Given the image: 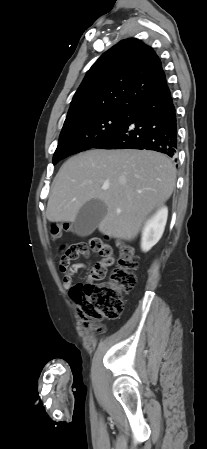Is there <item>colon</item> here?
<instances>
[{
	"label": "colon",
	"mask_w": 207,
	"mask_h": 449,
	"mask_svg": "<svg viewBox=\"0 0 207 449\" xmlns=\"http://www.w3.org/2000/svg\"><path fill=\"white\" fill-rule=\"evenodd\" d=\"M71 230V226L64 223H53L49 227V233L53 239H59L63 232ZM119 257L117 266L110 277L102 281L106 269L114 263L112 248L102 239L93 237L85 242H79L68 246L61 255L60 265L67 267L73 260L80 256H88L91 251L102 256V261L93 269V278L90 281L77 283L69 294L79 307L82 316L86 320H98L100 318L117 319L123 311V295L131 291L137 281L135 271L138 267L137 259L132 247L124 242L119 243ZM97 333H102L100 325L95 326Z\"/></svg>",
	"instance_id": "obj_1"
}]
</instances>
